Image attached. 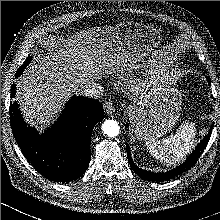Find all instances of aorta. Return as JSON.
<instances>
[{
	"mask_svg": "<svg viewBox=\"0 0 220 220\" xmlns=\"http://www.w3.org/2000/svg\"><path fill=\"white\" fill-rule=\"evenodd\" d=\"M119 124L115 120H106L102 124V130L104 134H106L109 137H115L119 134Z\"/></svg>",
	"mask_w": 220,
	"mask_h": 220,
	"instance_id": "obj_1",
	"label": "aorta"
}]
</instances>
